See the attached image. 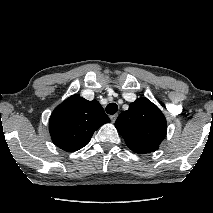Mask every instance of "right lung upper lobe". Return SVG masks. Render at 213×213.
Instances as JSON below:
<instances>
[{
	"mask_svg": "<svg viewBox=\"0 0 213 213\" xmlns=\"http://www.w3.org/2000/svg\"><path fill=\"white\" fill-rule=\"evenodd\" d=\"M108 122L110 119L98 101L75 94L53 110L49 132L57 147L74 152L87 145L93 133Z\"/></svg>",
	"mask_w": 213,
	"mask_h": 213,
	"instance_id": "1",
	"label": "right lung upper lobe"
}]
</instances>
